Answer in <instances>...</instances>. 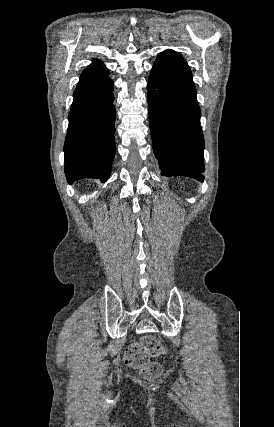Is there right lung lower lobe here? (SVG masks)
<instances>
[{
    "label": "right lung lower lobe",
    "instance_id": "1",
    "mask_svg": "<svg viewBox=\"0 0 274 427\" xmlns=\"http://www.w3.org/2000/svg\"><path fill=\"white\" fill-rule=\"evenodd\" d=\"M113 82L107 68L87 67L74 92L64 145L69 183L82 178L106 181L115 155Z\"/></svg>",
    "mask_w": 274,
    "mask_h": 427
}]
</instances>
